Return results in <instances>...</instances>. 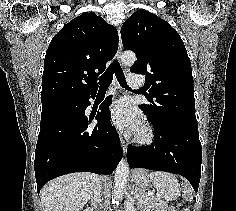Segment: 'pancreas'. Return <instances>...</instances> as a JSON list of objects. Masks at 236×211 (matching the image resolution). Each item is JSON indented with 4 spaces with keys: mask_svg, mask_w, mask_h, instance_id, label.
<instances>
[{
    "mask_svg": "<svg viewBox=\"0 0 236 211\" xmlns=\"http://www.w3.org/2000/svg\"><path fill=\"white\" fill-rule=\"evenodd\" d=\"M137 194L139 197L137 198L136 204L143 209V211H162L160 210L163 207V204L159 198H155L150 196L145 190L138 189Z\"/></svg>",
    "mask_w": 236,
    "mask_h": 211,
    "instance_id": "1",
    "label": "pancreas"
}]
</instances>
